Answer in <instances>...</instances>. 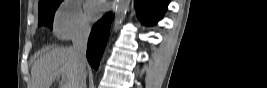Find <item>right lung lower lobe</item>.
<instances>
[{
  "label": "right lung lower lobe",
  "instance_id": "right-lung-lower-lobe-1",
  "mask_svg": "<svg viewBox=\"0 0 267 88\" xmlns=\"http://www.w3.org/2000/svg\"><path fill=\"white\" fill-rule=\"evenodd\" d=\"M110 23L111 14L109 13L93 26L88 40L87 59L89 64L96 70L99 67L108 40Z\"/></svg>",
  "mask_w": 267,
  "mask_h": 88
}]
</instances>
